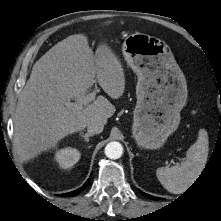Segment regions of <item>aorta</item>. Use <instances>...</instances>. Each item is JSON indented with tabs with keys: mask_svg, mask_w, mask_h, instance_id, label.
Segmentation results:
<instances>
[{
	"mask_svg": "<svg viewBox=\"0 0 221 221\" xmlns=\"http://www.w3.org/2000/svg\"><path fill=\"white\" fill-rule=\"evenodd\" d=\"M123 154V147L119 142L113 141L106 145L105 155L110 159H118Z\"/></svg>",
	"mask_w": 221,
	"mask_h": 221,
	"instance_id": "aorta-1",
	"label": "aorta"
}]
</instances>
